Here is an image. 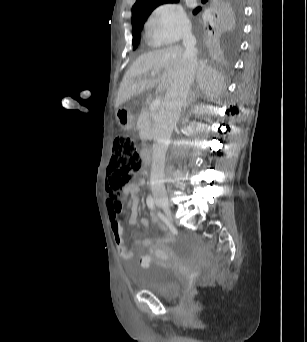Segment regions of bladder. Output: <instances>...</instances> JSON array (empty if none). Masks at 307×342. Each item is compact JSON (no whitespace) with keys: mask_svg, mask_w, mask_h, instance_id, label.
<instances>
[{"mask_svg":"<svg viewBox=\"0 0 307 342\" xmlns=\"http://www.w3.org/2000/svg\"><path fill=\"white\" fill-rule=\"evenodd\" d=\"M142 287L154 294L167 296L180 288V276L172 266L154 261L146 266Z\"/></svg>","mask_w":307,"mask_h":342,"instance_id":"obj_1","label":"bladder"}]
</instances>
